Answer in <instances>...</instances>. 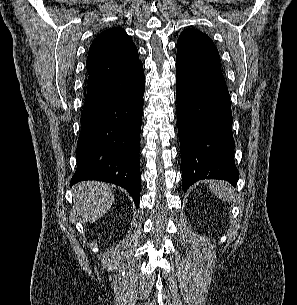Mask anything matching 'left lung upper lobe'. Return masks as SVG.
Wrapping results in <instances>:
<instances>
[{
  "instance_id": "left-lung-upper-lobe-1",
  "label": "left lung upper lobe",
  "mask_w": 297,
  "mask_h": 305,
  "mask_svg": "<svg viewBox=\"0 0 297 305\" xmlns=\"http://www.w3.org/2000/svg\"><path fill=\"white\" fill-rule=\"evenodd\" d=\"M176 63L186 72L220 71V55L211 38L201 31L184 30L177 41Z\"/></svg>"
}]
</instances>
